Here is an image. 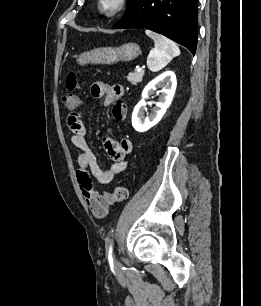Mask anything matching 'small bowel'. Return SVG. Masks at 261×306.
I'll list each match as a JSON object with an SVG mask.
<instances>
[{
	"mask_svg": "<svg viewBox=\"0 0 261 306\" xmlns=\"http://www.w3.org/2000/svg\"><path fill=\"white\" fill-rule=\"evenodd\" d=\"M91 94L95 98L103 97L104 106H113L112 115L115 120H124L127 108L120 101L124 95V88L121 85L95 83L91 87ZM68 125L72 131L71 142L79 150L76 176L81 192L92 214L97 218H103L108 214L115 201L109 192L99 191L93 180L99 184H109L122 173L128 165L127 157L132 151V142L128 138L119 141L104 138L105 149L114 163L108 169H103L99 166L97 158L87 142L85 112L78 110L69 116Z\"/></svg>",
	"mask_w": 261,
	"mask_h": 306,
	"instance_id": "c3829d8e",
	"label": "small bowel"
}]
</instances>
